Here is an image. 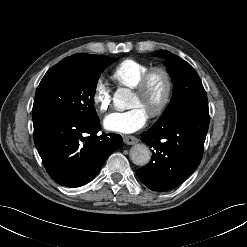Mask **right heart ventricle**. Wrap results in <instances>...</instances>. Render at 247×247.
Instances as JSON below:
<instances>
[{
	"instance_id": "1",
	"label": "right heart ventricle",
	"mask_w": 247,
	"mask_h": 247,
	"mask_svg": "<svg viewBox=\"0 0 247 247\" xmlns=\"http://www.w3.org/2000/svg\"><path fill=\"white\" fill-rule=\"evenodd\" d=\"M150 68L144 62L135 59H125L113 69L111 78L120 86L134 88L140 78Z\"/></svg>"
}]
</instances>
